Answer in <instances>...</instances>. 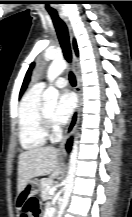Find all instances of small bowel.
<instances>
[{
  "instance_id": "1",
  "label": "small bowel",
  "mask_w": 132,
  "mask_h": 217,
  "mask_svg": "<svg viewBox=\"0 0 132 217\" xmlns=\"http://www.w3.org/2000/svg\"><path fill=\"white\" fill-rule=\"evenodd\" d=\"M24 205H25V203H24ZM24 205H23V207H22L21 217H26V215L24 214Z\"/></svg>"
}]
</instances>
